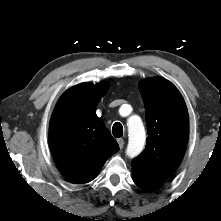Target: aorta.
I'll use <instances>...</instances> for the list:
<instances>
[{"mask_svg": "<svg viewBox=\"0 0 221 221\" xmlns=\"http://www.w3.org/2000/svg\"><path fill=\"white\" fill-rule=\"evenodd\" d=\"M128 137L126 154L128 157L133 158L142 152L146 140L144 126L137 116L131 117L128 121Z\"/></svg>", "mask_w": 221, "mask_h": 221, "instance_id": "obj_1", "label": "aorta"}]
</instances>
